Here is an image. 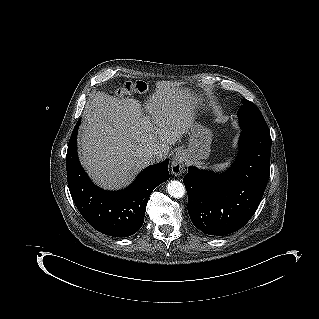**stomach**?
<instances>
[{
	"label": "stomach",
	"mask_w": 319,
	"mask_h": 319,
	"mask_svg": "<svg viewBox=\"0 0 319 319\" xmlns=\"http://www.w3.org/2000/svg\"><path fill=\"white\" fill-rule=\"evenodd\" d=\"M211 141V130L196 123L190 130L187 145L182 149L184 162L193 164L207 159L211 151Z\"/></svg>",
	"instance_id": "1"
}]
</instances>
